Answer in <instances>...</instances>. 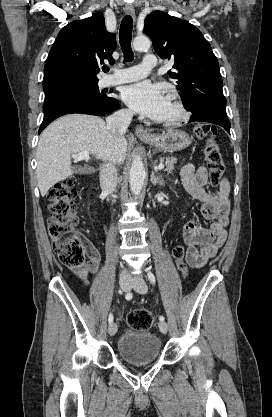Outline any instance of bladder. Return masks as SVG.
<instances>
[{
    "label": "bladder",
    "mask_w": 272,
    "mask_h": 417,
    "mask_svg": "<svg viewBox=\"0 0 272 417\" xmlns=\"http://www.w3.org/2000/svg\"><path fill=\"white\" fill-rule=\"evenodd\" d=\"M161 349V340L149 332L127 330L117 342L119 356L135 365L154 362L159 358Z\"/></svg>",
    "instance_id": "bladder-1"
}]
</instances>
